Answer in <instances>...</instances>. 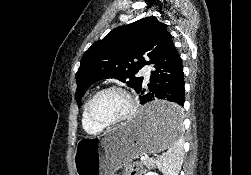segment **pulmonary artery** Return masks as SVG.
I'll return each instance as SVG.
<instances>
[{
  "label": "pulmonary artery",
  "mask_w": 251,
  "mask_h": 175,
  "mask_svg": "<svg viewBox=\"0 0 251 175\" xmlns=\"http://www.w3.org/2000/svg\"><path fill=\"white\" fill-rule=\"evenodd\" d=\"M154 68V65H144V70L146 71L144 72V74L140 75V78L148 80L150 77V70H154Z\"/></svg>",
  "instance_id": "obj_1"
}]
</instances>
